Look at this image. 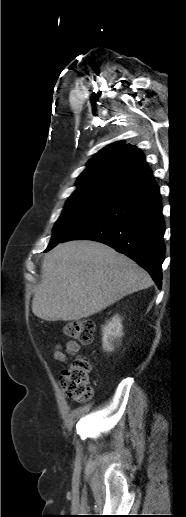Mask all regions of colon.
<instances>
[{"label":"colon","mask_w":186,"mask_h":517,"mask_svg":"<svg viewBox=\"0 0 186 517\" xmlns=\"http://www.w3.org/2000/svg\"><path fill=\"white\" fill-rule=\"evenodd\" d=\"M95 322L88 319H77L67 322L63 327L64 334L83 344H91L94 339ZM91 363L87 357L78 356L72 360L60 374V386L65 396L77 403L91 398L90 381Z\"/></svg>","instance_id":"obj_1"}]
</instances>
